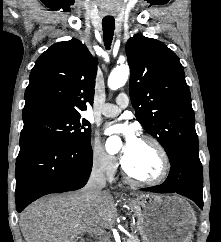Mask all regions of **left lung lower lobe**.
Returning <instances> with one entry per match:
<instances>
[{"instance_id": "0a47b994", "label": "left lung lower lobe", "mask_w": 221, "mask_h": 242, "mask_svg": "<svg viewBox=\"0 0 221 242\" xmlns=\"http://www.w3.org/2000/svg\"><path fill=\"white\" fill-rule=\"evenodd\" d=\"M142 190L156 193H178L193 200L203 208V172L198 152L185 151L171 162L166 181L158 186Z\"/></svg>"}]
</instances>
